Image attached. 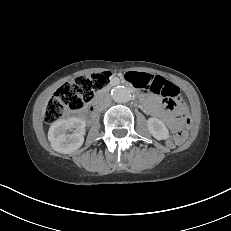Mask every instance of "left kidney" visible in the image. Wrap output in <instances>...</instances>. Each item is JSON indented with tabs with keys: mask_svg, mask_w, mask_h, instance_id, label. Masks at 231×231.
Here are the masks:
<instances>
[{
	"mask_svg": "<svg viewBox=\"0 0 231 231\" xmlns=\"http://www.w3.org/2000/svg\"><path fill=\"white\" fill-rule=\"evenodd\" d=\"M149 132L157 140H166L169 138V131L164 122L158 118L152 117L147 121Z\"/></svg>",
	"mask_w": 231,
	"mask_h": 231,
	"instance_id": "obj_1",
	"label": "left kidney"
}]
</instances>
